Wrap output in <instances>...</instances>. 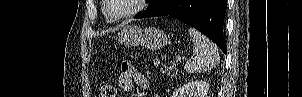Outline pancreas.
Segmentation results:
<instances>
[{
    "label": "pancreas",
    "instance_id": "cf45deb5",
    "mask_svg": "<svg viewBox=\"0 0 302 97\" xmlns=\"http://www.w3.org/2000/svg\"><path fill=\"white\" fill-rule=\"evenodd\" d=\"M169 69L171 70V69H176L175 68V65H169Z\"/></svg>",
    "mask_w": 302,
    "mask_h": 97
}]
</instances>
